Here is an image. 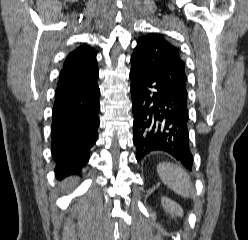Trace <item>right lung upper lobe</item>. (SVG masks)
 Instances as JSON below:
<instances>
[{
	"mask_svg": "<svg viewBox=\"0 0 248 240\" xmlns=\"http://www.w3.org/2000/svg\"><path fill=\"white\" fill-rule=\"evenodd\" d=\"M97 69L96 51L84 44L70 52L59 75L58 84L70 82Z\"/></svg>",
	"mask_w": 248,
	"mask_h": 240,
	"instance_id": "cb5924a9",
	"label": "right lung upper lobe"
}]
</instances>
